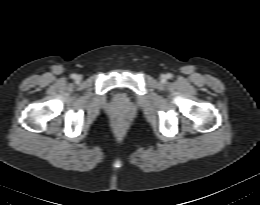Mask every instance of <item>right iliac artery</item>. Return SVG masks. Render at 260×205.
<instances>
[{"label":"right iliac artery","mask_w":260,"mask_h":205,"mask_svg":"<svg viewBox=\"0 0 260 205\" xmlns=\"http://www.w3.org/2000/svg\"><path fill=\"white\" fill-rule=\"evenodd\" d=\"M76 77H77L76 74H72V75H71V78H72V79H76Z\"/></svg>","instance_id":"82829eb1"}]
</instances>
